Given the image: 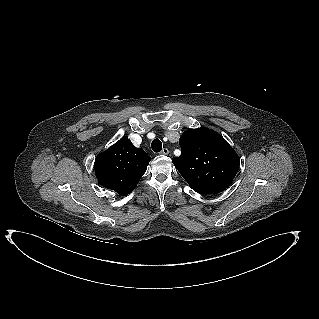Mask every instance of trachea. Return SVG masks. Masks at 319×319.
<instances>
[{
    "label": "trachea",
    "mask_w": 319,
    "mask_h": 319,
    "mask_svg": "<svg viewBox=\"0 0 319 319\" xmlns=\"http://www.w3.org/2000/svg\"><path fill=\"white\" fill-rule=\"evenodd\" d=\"M152 150L156 153L162 150V143L159 139H154L151 144Z\"/></svg>",
    "instance_id": "trachea-1"
}]
</instances>
